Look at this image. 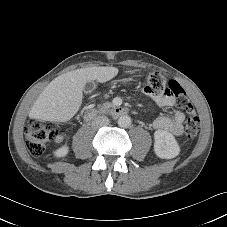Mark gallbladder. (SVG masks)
<instances>
[{
    "mask_svg": "<svg viewBox=\"0 0 227 227\" xmlns=\"http://www.w3.org/2000/svg\"><path fill=\"white\" fill-rule=\"evenodd\" d=\"M96 89V84L93 81H88L84 86V92L85 93H91Z\"/></svg>",
    "mask_w": 227,
    "mask_h": 227,
    "instance_id": "obj_1",
    "label": "gallbladder"
}]
</instances>
